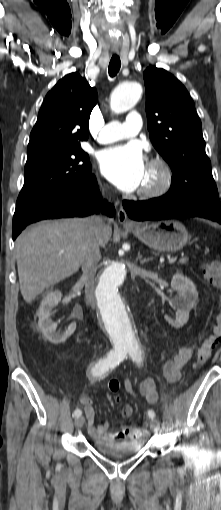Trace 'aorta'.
<instances>
[{"instance_id": "obj_1", "label": "aorta", "mask_w": 221, "mask_h": 510, "mask_svg": "<svg viewBox=\"0 0 221 510\" xmlns=\"http://www.w3.org/2000/svg\"><path fill=\"white\" fill-rule=\"evenodd\" d=\"M142 95L136 82L119 84L111 94L110 106L114 113L132 109ZM127 270L122 262L110 263L95 284V294L101 321L115 349H138L139 337L130 308L122 295Z\"/></svg>"}]
</instances>
